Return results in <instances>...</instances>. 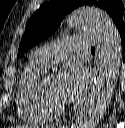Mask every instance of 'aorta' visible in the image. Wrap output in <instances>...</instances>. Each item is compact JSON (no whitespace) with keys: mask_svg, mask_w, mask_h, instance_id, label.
Instances as JSON below:
<instances>
[{"mask_svg":"<svg viewBox=\"0 0 125 128\" xmlns=\"http://www.w3.org/2000/svg\"><path fill=\"white\" fill-rule=\"evenodd\" d=\"M67 22L71 27L90 32L96 39L97 77L74 124V128H96L114 94L120 68V35L111 18L95 7L74 11Z\"/></svg>","mask_w":125,"mask_h":128,"instance_id":"obj_1","label":"aorta"}]
</instances>
